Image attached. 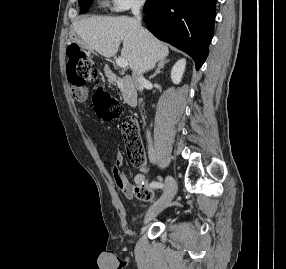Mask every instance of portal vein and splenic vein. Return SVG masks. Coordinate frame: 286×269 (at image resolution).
<instances>
[{
  "instance_id": "1",
  "label": "portal vein and splenic vein",
  "mask_w": 286,
  "mask_h": 269,
  "mask_svg": "<svg viewBox=\"0 0 286 269\" xmlns=\"http://www.w3.org/2000/svg\"><path fill=\"white\" fill-rule=\"evenodd\" d=\"M118 41V40H116ZM116 64L117 66L121 67V68H126L128 66V61L126 59H124L123 57H120L118 59H116Z\"/></svg>"
}]
</instances>
